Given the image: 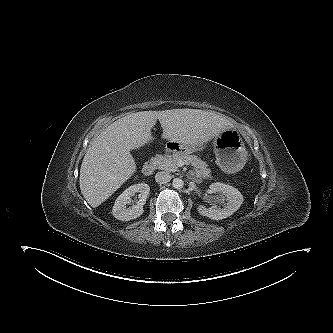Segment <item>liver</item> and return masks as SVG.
<instances>
[{
	"label": "liver",
	"instance_id": "6515ba94",
	"mask_svg": "<svg viewBox=\"0 0 333 333\" xmlns=\"http://www.w3.org/2000/svg\"><path fill=\"white\" fill-rule=\"evenodd\" d=\"M157 121L161 139L193 148L233 128L218 115L189 108L137 112L115 121L91 143L81 165V193L91 207L100 206L137 172L131 152L156 139Z\"/></svg>",
	"mask_w": 333,
	"mask_h": 333
}]
</instances>
